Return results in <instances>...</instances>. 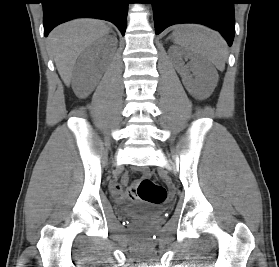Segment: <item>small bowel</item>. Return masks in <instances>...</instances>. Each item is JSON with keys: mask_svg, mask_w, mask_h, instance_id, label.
Instances as JSON below:
<instances>
[{"mask_svg": "<svg viewBox=\"0 0 279 267\" xmlns=\"http://www.w3.org/2000/svg\"><path fill=\"white\" fill-rule=\"evenodd\" d=\"M128 180H129L128 175H124L122 178V182L125 184L128 182ZM110 190L113 197L119 201L125 200L128 196H130L132 199L138 197V192H133L137 190L136 186H127V191H129V193L126 194L119 183L113 182L110 185Z\"/></svg>", "mask_w": 279, "mask_h": 267, "instance_id": "c3829d8e", "label": "small bowel"}]
</instances>
